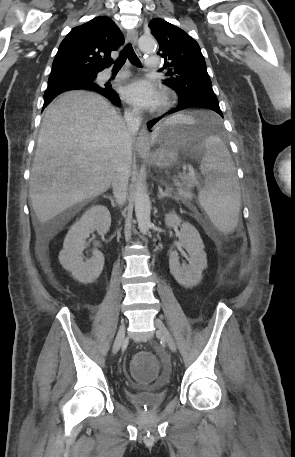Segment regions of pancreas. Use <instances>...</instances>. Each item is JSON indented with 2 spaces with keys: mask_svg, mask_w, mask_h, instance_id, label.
<instances>
[{
  "mask_svg": "<svg viewBox=\"0 0 295 457\" xmlns=\"http://www.w3.org/2000/svg\"><path fill=\"white\" fill-rule=\"evenodd\" d=\"M186 188H182L179 190V194L184 202H187L192 199L193 195L190 192V188L193 187V183L191 181H188L185 183Z\"/></svg>",
  "mask_w": 295,
  "mask_h": 457,
  "instance_id": "obj_1",
  "label": "pancreas"
}]
</instances>
